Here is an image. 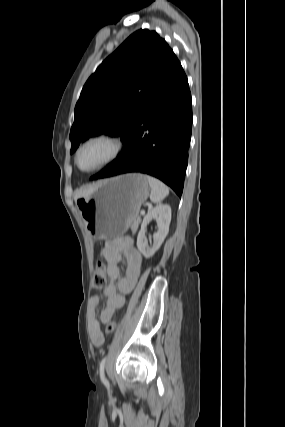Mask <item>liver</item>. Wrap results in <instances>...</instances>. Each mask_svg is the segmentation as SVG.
<instances>
[{
    "label": "liver",
    "mask_w": 285,
    "mask_h": 427,
    "mask_svg": "<svg viewBox=\"0 0 285 427\" xmlns=\"http://www.w3.org/2000/svg\"><path fill=\"white\" fill-rule=\"evenodd\" d=\"M99 184L100 183L92 185V186L82 187L80 189H77L74 193V197L80 198V197L90 196L95 191V189L98 187Z\"/></svg>",
    "instance_id": "6515ba94"
}]
</instances>
